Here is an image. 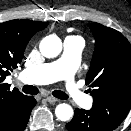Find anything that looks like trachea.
Instances as JSON below:
<instances>
[{
  "mask_svg": "<svg viewBox=\"0 0 131 131\" xmlns=\"http://www.w3.org/2000/svg\"><path fill=\"white\" fill-rule=\"evenodd\" d=\"M22 91L26 94H31V95H36L39 93L38 88L32 85L23 86ZM52 95L58 99H62V100L68 99V95L62 91H53Z\"/></svg>",
  "mask_w": 131,
  "mask_h": 131,
  "instance_id": "1",
  "label": "trachea"
}]
</instances>
